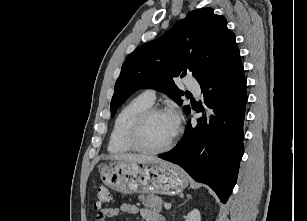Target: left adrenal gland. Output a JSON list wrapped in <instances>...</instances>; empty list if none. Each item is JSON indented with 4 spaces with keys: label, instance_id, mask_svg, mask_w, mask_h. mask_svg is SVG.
<instances>
[{
    "label": "left adrenal gland",
    "instance_id": "obj_1",
    "mask_svg": "<svg viewBox=\"0 0 307 221\" xmlns=\"http://www.w3.org/2000/svg\"><path fill=\"white\" fill-rule=\"evenodd\" d=\"M192 197L190 195H187V199L185 200V202H187L188 200H190Z\"/></svg>",
    "mask_w": 307,
    "mask_h": 221
}]
</instances>
